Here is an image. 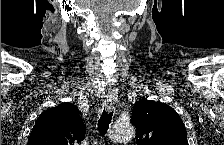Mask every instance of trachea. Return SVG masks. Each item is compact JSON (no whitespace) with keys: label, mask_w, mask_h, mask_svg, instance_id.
<instances>
[{"label":"trachea","mask_w":224,"mask_h":145,"mask_svg":"<svg viewBox=\"0 0 224 145\" xmlns=\"http://www.w3.org/2000/svg\"><path fill=\"white\" fill-rule=\"evenodd\" d=\"M113 112H107L105 109L98 122V129L102 134H105L108 130V126L111 122Z\"/></svg>","instance_id":"trachea-1"}]
</instances>
